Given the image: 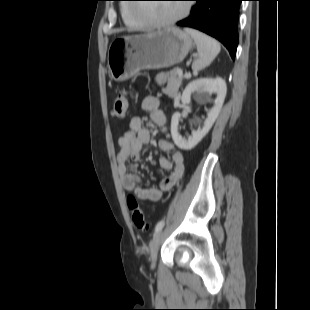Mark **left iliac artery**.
<instances>
[{
  "label": "left iliac artery",
  "mask_w": 310,
  "mask_h": 310,
  "mask_svg": "<svg viewBox=\"0 0 310 310\" xmlns=\"http://www.w3.org/2000/svg\"><path fill=\"white\" fill-rule=\"evenodd\" d=\"M163 226H164V221H159L155 226L154 234L159 232L163 228Z\"/></svg>",
  "instance_id": "left-iliac-artery-1"
}]
</instances>
